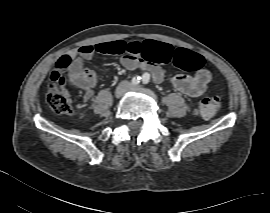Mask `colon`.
<instances>
[{
    "label": "colon",
    "mask_w": 270,
    "mask_h": 213,
    "mask_svg": "<svg viewBox=\"0 0 270 213\" xmlns=\"http://www.w3.org/2000/svg\"><path fill=\"white\" fill-rule=\"evenodd\" d=\"M101 50L111 54H130L133 56H149V48L138 42L112 41L105 43ZM203 58L192 52L177 54L173 64L187 70H196L201 67ZM66 56L59 59V64H65ZM50 85L46 93L48 105L58 114H70L73 110L72 96L65 87L66 77L60 66H56L49 73ZM221 99L218 95L203 98L196 107V113L202 118L213 116L220 108Z\"/></svg>",
    "instance_id": "obj_1"
}]
</instances>
